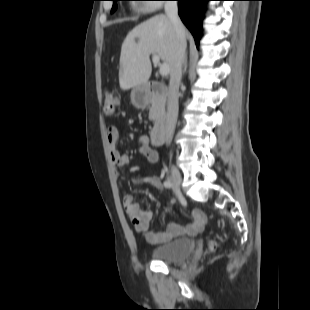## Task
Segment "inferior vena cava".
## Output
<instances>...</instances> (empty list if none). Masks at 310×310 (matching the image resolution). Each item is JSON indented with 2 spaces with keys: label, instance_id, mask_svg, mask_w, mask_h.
Here are the masks:
<instances>
[{
  "label": "inferior vena cava",
  "instance_id": "1",
  "mask_svg": "<svg viewBox=\"0 0 310 310\" xmlns=\"http://www.w3.org/2000/svg\"><path fill=\"white\" fill-rule=\"evenodd\" d=\"M165 13L173 24L176 34L174 64L170 73L167 114L163 127V134L166 143H170L174 134L178 117V90L182 77V65L185 58L186 39L184 26L178 16L177 2L167 1L165 3Z\"/></svg>",
  "mask_w": 310,
  "mask_h": 310
}]
</instances>
